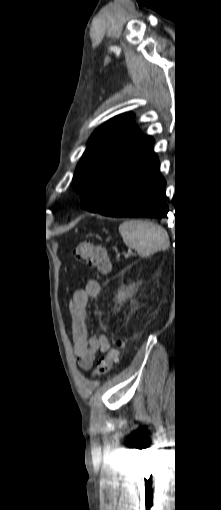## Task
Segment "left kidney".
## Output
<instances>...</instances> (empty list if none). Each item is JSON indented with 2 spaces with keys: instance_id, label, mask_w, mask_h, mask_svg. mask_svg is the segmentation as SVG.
<instances>
[{
  "instance_id": "obj_1",
  "label": "left kidney",
  "mask_w": 221,
  "mask_h": 510,
  "mask_svg": "<svg viewBox=\"0 0 221 510\" xmlns=\"http://www.w3.org/2000/svg\"><path fill=\"white\" fill-rule=\"evenodd\" d=\"M135 285L132 284L129 287L122 286L121 289L118 292L117 300L119 302H123L126 299L130 298L134 292Z\"/></svg>"
}]
</instances>
